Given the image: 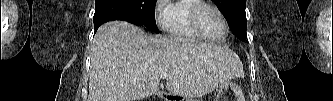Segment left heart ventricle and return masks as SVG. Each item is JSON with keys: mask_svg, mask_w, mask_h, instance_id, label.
I'll list each match as a JSON object with an SVG mask.
<instances>
[{"mask_svg": "<svg viewBox=\"0 0 333 101\" xmlns=\"http://www.w3.org/2000/svg\"><path fill=\"white\" fill-rule=\"evenodd\" d=\"M200 24L204 32L211 38H221L224 34L223 22L212 9L204 8L201 11Z\"/></svg>", "mask_w": 333, "mask_h": 101, "instance_id": "1", "label": "left heart ventricle"}]
</instances>
